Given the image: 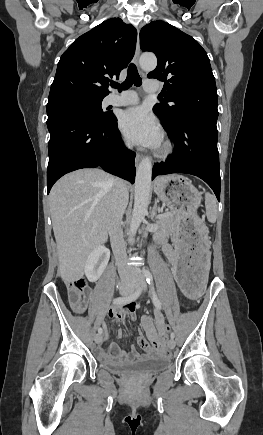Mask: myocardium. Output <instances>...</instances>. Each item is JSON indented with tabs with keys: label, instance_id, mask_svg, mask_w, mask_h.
<instances>
[{
	"label": "myocardium",
	"instance_id": "myocardium-1",
	"mask_svg": "<svg viewBox=\"0 0 263 435\" xmlns=\"http://www.w3.org/2000/svg\"><path fill=\"white\" fill-rule=\"evenodd\" d=\"M173 147L169 141H165L157 151V157L160 159L167 158L172 153Z\"/></svg>",
	"mask_w": 263,
	"mask_h": 435
}]
</instances>
